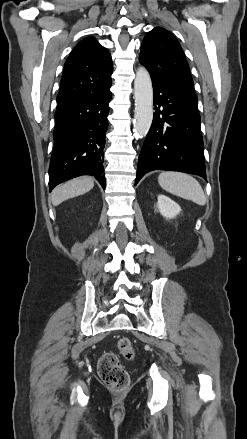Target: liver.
I'll use <instances>...</instances> for the list:
<instances>
[{
    "label": "liver",
    "instance_id": "liver-1",
    "mask_svg": "<svg viewBox=\"0 0 247 439\" xmlns=\"http://www.w3.org/2000/svg\"><path fill=\"white\" fill-rule=\"evenodd\" d=\"M94 187L92 177L83 176L65 182L57 186L51 194L52 204L58 206L65 200L83 195Z\"/></svg>",
    "mask_w": 247,
    "mask_h": 439
}]
</instances>
